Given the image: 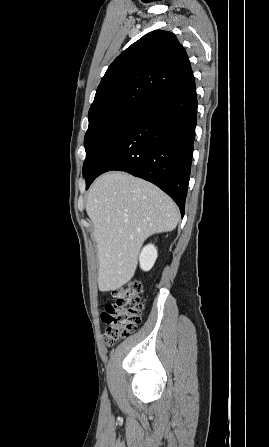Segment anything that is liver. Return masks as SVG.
Listing matches in <instances>:
<instances>
[{"label":"liver","instance_id":"obj_1","mask_svg":"<svg viewBox=\"0 0 269 447\" xmlns=\"http://www.w3.org/2000/svg\"><path fill=\"white\" fill-rule=\"evenodd\" d=\"M86 212L98 247L100 291L127 283L146 237L172 231L179 220L173 200L162 190L121 172L97 178L88 192Z\"/></svg>","mask_w":269,"mask_h":447}]
</instances>
